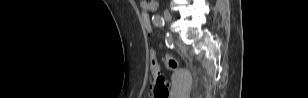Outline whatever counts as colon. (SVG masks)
<instances>
[{"instance_id":"1","label":"colon","mask_w":308,"mask_h":98,"mask_svg":"<svg viewBox=\"0 0 308 98\" xmlns=\"http://www.w3.org/2000/svg\"><path fill=\"white\" fill-rule=\"evenodd\" d=\"M146 9L140 10V15L143 16L144 26L143 29L148 34L151 33L154 29L153 23L150 20V16L147 15ZM163 61L166 67L170 70H175L178 68V61L171 55H165ZM150 67L154 75V78L151 83V89L155 98H167L169 94V83L164 76L160 73V67L157 61V57L154 51L150 53Z\"/></svg>"}]
</instances>
